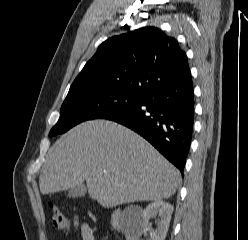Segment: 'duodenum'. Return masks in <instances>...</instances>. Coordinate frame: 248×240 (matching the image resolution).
Segmentation results:
<instances>
[{
	"mask_svg": "<svg viewBox=\"0 0 248 240\" xmlns=\"http://www.w3.org/2000/svg\"><path fill=\"white\" fill-rule=\"evenodd\" d=\"M112 226L117 230H122L124 222L122 219V213L120 210H115L112 215Z\"/></svg>",
	"mask_w": 248,
	"mask_h": 240,
	"instance_id": "410a0bca",
	"label": "duodenum"
}]
</instances>
